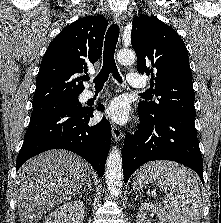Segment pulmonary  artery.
Instances as JSON below:
<instances>
[{
    "instance_id": "obj_1",
    "label": "pulmonary artery",
    "mask_w": 221,
    "mask_h": 223,
    "mask_svg": "<svg viewBox=\"0 0 221 223\" xmlns=\"http://www.w3.org/2000/svg\"><path fill=\"white\" fill-rule=\"evenodd\" d=\"M127 81H128V84L134 88H145L147 85L146 80L134 72H130L127 74ZM94 96H95V92L93 90H86L84 93L85 99H90Z\"/></svg>"
}]
</instances>
